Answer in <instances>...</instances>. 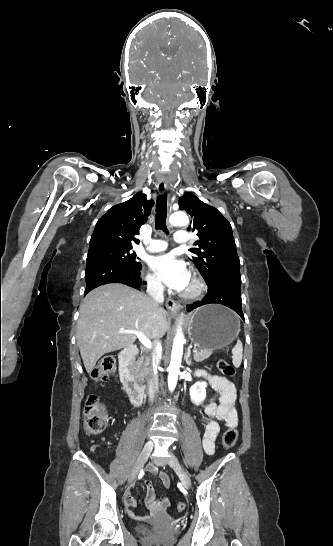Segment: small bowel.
<instances>
[{
  "label": "small bowel",
  "instance_id": "c3829d8e",
  "mask_svg": "<svg viewBox=\"0 0 333 546\" xmlns=\"http://www.w3.org/2000/svg\"><path fill=\"white\" fill-rule=\"evenodd\" d=\"M196 376L204 379L208 385L219 393L218 402H210L205 407V414L212 418L206 425L202 445L206 454L212 455L215 451V440L219 434L220 427L218 422H222L227 428H235L238 424V414L234 407L236 399V389L234 384L227 378L212 375L204 370H198ZM149 475L154 476L157 470L151 466L148 470ZM159 478L165 487H169V476L165 472L159 473ZM136 501L131 492L125 495V508L131 517L140 518L133 512ZM146 504L151 515H157L166 510L169 505L167 497L157 498L155 490L149 481H146Z\"/></svg>",
  "mask_w": 333,
  "mask_h": 546
}]
</instances>
